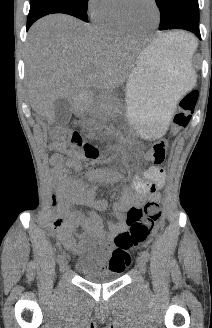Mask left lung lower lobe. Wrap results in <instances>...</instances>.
Returning a JSON list of instances; mask_svg holds the SVG:
<instances>
[{
	"instance_id": "1",
	"label": "left lung lower lobe",
	"mask_w": 212,
	"mask_h": 328,
	"mask_svg": "<svg viewBox=\"0 0 212 328\" xmlns=\"http://www.w3.org/2000/svg\"><path fill=\"white\" fill-rule=\"evenodd\" d=\"M168 29H184L194 33L199 39H201L199 24H196L190 19L184 17L176 18L165 27H159V30H168Z\"/></svg>"
}]
</instances>
